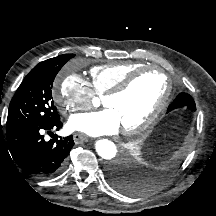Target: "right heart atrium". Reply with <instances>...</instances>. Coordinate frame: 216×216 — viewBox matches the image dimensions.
I'll return each instance as SVG.
<instances>
[{"mask_svg":"<svg viewBox=\"0 0 216 216\" xmlns=\"http://www.w3.org/2000/svg\"><path fill=\"white\" fill-rule=\"evenodd\" d=\"M94 96L90 84L76 73L65 76L53 92V100L63 115L89 108Z\"/></svg>","mask_w":216,"mask_h":216,"instance_id":"d8ad5b80","label":"right heart atrium"}]
</instances>
